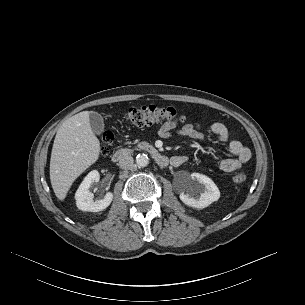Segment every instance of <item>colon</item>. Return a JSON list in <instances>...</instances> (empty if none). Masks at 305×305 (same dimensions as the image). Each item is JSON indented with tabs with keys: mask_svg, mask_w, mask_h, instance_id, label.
Instances as JSON below:
<instances>
[{
	"mask_svg": "<svg viewBox=\"0 0 305 305\" xmlns=\"http://www.w3.org/2000/svg\"><path fill=\"white\" fill-rule=\"evenodd\" d=\"M125 121L138 126L146 127L156 123H170V122H183L185 117L179 115L177 111L172 107H157L154 105L132 107L124 114ZM113 135L109 131H105L102 135V145L100 148V154L102 156L107 155L108 145L112 142ZM246 180V176L243 173H237L233 177V181L236 184H241Z\"/></svg>",
	"mask_w": 305,
	"mask_h": 305,
	"instance_id": "1",
	"label": "colon"
}]
</instances>
